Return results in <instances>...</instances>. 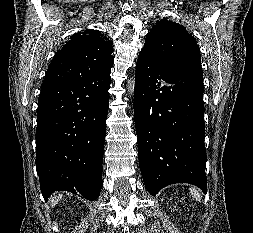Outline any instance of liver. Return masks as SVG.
<instances>
[{
  "label": "liver",
  "instance_id": "liver-1",
  "mask_svg": "<svg viewBox=\"0 0 253 233\" xmlns=\"http://www.w3.org/2000/svg\"><path fill=\"white\" fill-rule=\"evenodd\" d=\"M62 198V194H58L56 196H53L51 199V206L54 207Z\"/></svg>",
  "mask_w": 253,
  "mask_h": 233
}]
</instances>
